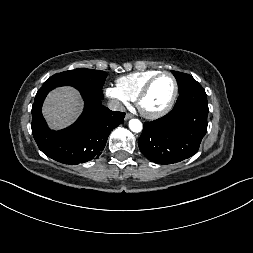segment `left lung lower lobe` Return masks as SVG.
Wrapping results in <instances>:
<instances>
[{"label":"left lung lower lobe","mask_w":253,"mask_h":253,"mask_svg":"<svg viewBox=\"0 0 253 253\" xmlns=\"http://www.w3.org/2000/svg\"><path fill=\"white\" fill-rule=\"evenodd\" d=\"M207 95L194 82L179 92L177 102L167 115L145 122L138 145L142 154L159 164H172L193 156L207 132Z\"/></svg>","instance_id":"obj_1"}]
</instances>
